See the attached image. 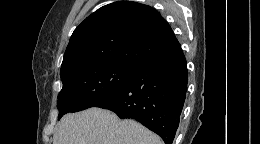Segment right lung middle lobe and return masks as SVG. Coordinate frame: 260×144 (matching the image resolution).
Instances as JSON below:
<instances>
[{
    "mask_svg": "<svg viewBox=\"0 0 260 144\" xmlns=\"http://www.w3.org/2000/svg\"><path fill=\"white\" fill-rule=\"evenodd\" d=\"M134 68L103 64L83 68L61 76L63 88L58 95V119L68 112L94 107L129 78Z\"/></svg>",
    "mask_w": 260,
    "mask_h": 144,
    "instance_id": "obj_1",
    "label": "right lung middle lobe"
}]
</instances>
